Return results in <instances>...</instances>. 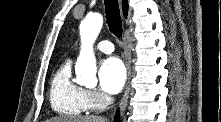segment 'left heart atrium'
Returning <instances> with one entry per match:
<instances>
[{
    "label": "left heart atrium",
    "instance_id": "39dd6f15",
    "mask_svg": "<svg viewBox=\"0 0 221 122\" xmlns=\"http://www.w3.org/2000/svg\"><path fill=\"white\" fill-rule=\"evenodd\" d=\"M99 84L107 94H117L122 89L126 79V68L117 57H108L102 61L99 68Z\"/></svg>",
    "mask_w": 221,
    "mask_h": 122
}]
</instances>
